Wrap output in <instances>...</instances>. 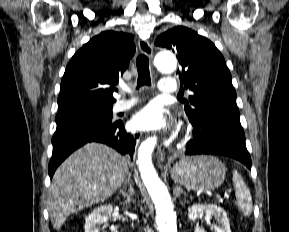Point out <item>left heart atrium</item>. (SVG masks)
I'll return each instance as SVG.
<instances>
[{
	"label": "left heart atrium",
	"mask_w": 289,
	"mask_h": 232,
	"mask_svg": "<svg viewBox=\"0 0 289 232\" xmlns=\"http://www.w3.org/2000/svg\"><path fill=\"white\" fill-rule=\"evenodd\" d=\"M132 126L139 131H159L167 128L168 122L159 107L148 105L134 115Z\"/></svg>",
	"instance_id": "1"
}]
</instances>
